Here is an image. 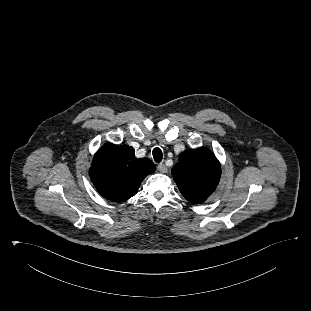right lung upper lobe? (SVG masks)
I'll list each match as a JSON object with an SVG mask.
<instances>
[{"mask_svg": "<svg viewBox=\"0 0 311 311\" xmlns=\"http://www.w3.org/2000/svg\"><path fill=\"white\" fill-rule=\"evenodd\" d=\"M128 145L106 143L93 158L89 175L106 199L121 202L134 196L144 178L156 170L148 158L137 159Z\"/></svg>", "mask_w": 311, "mask_h": 311, "instance_id": "obj_1", "label": "right lung upper lobe"}]
</instances>
